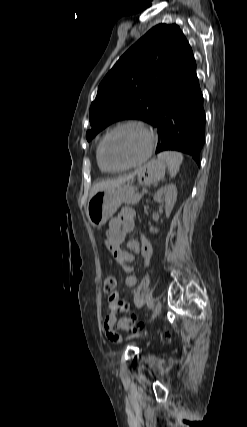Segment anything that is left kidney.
Returning <instances> with one entry per match:
<instances>
[{
	"label": "left kidney",
	"instance_id": "5707ae66",
	"mask_svg": "<svg viewBox=\"0 0 247 427\" xmlns=\"http://www.w3.org/2000/svg\"><path fill=\"white\" fill-rule=\"evenodd\" d=\"M153 199L158 203H163V202L165 203V212H166V217L168 218L177 200L176 185L171 183L161 187L155 193ZM149 230L151 233H158V229H154L153 227H151Z\"/></svg>",
	"mask_w": 247,
	"mask_h": 427
}]
</instances>
